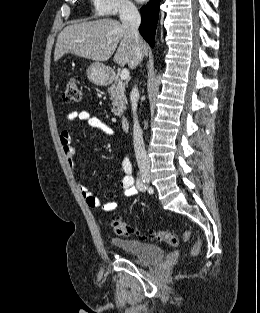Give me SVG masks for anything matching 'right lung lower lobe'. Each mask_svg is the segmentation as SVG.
I'll use <instances>...</instances> for the list:
<instances>
[{"label":"right lung lower lobe","instance_id":"98d812e1","mask_svg":"<svg viewBox=\"0 0 260 313\" xmlns=\"http://www.w3.org/2000/svg\"><path fill=\"white\" fill-rule=\"evenodd\" d=\"M159 5L160 0H150L146 6L141 8L142 20L139 27V32L151 47H154Z\"/></svg>","mask_w":260,"mask_h":313}]
</instances>
